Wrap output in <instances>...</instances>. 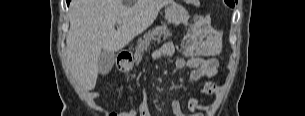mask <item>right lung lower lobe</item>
I'll return each instance as SVG.
<instances>
[{
	"label": "right lung lower lobe",
	"instance_id": "98d812e1",
	"mask_svg": "<svg viewBox=\"0 0 305 116\" xmlns=\"http://www.w3.org/2000/svg\"><path fill=\"white\" fill-rule=\"evenodd\" d=\"M67 1V4H69L70 0H66Z\"/></svg>",
	"mask_w": 305,
	"mask_h": 116
}]
</instances>
